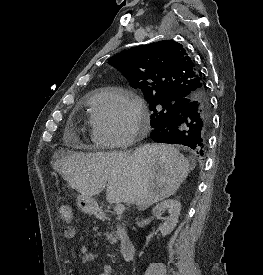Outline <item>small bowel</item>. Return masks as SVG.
Segmentation results:
<instances>
[{
	"label": "small bowel",
	"mask_w": 263,
	"mask_h": 275,
	"mask_svg": "<svg viewBox=\"0 0 263 275\" xmlns=\"http://www.w3.org/2000/svg\"><path fill=\"white\" fill-rule=\"evenodd\" d=\"M64 236L66 238H74L76 236V230L72 226H68L64 230ZM97 246H100L99 243H96ZM79 258L81 259L82 262H88L93 260L94 255L92 248L90 246H84L81 248L79 254ZM67 269L70 275H75L73 273L72 269V262L70 260L66 261ZM112 274V267L111 265L107 264L103 267L102 272L99 275H111Z\"/></svg>",
	"instance_id": "1"
}]
</instances>
